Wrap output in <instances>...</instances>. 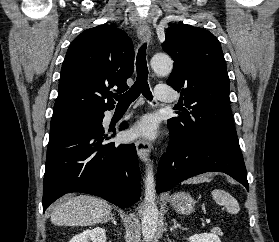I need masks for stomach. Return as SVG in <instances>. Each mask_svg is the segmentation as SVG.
<instances>
[{
  "instance_id": "0dacf381",
  "label": "stomach",
  "mask_w": 279,
  "mask_h": 242,
  "mask_svg": "<svg viewBox=\"0 0 279 242\" xmlns=\"http://www.w3.org/2000/svg\"><path fill=\"white\" fill-rule=\"evenodd\" d=\"M170 204L180 214H190L195 209V201L193 197L186 192L175 193L170 198Z\"/></svg>"
}]
</instances>
